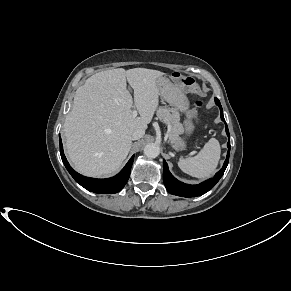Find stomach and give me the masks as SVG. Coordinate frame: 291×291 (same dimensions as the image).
<instances>
[{
    "label": "stomach",
    "mask_w": 291,
    "mask_h": 291,
    "mask_svg": "<svg viewBox=\"0 0 291 291\" xmlns=\"http://www.w3.org/2000/svg\"><path fill=\"white\" fill-rule=\"evenodd\" d=\"M157 83L160 95L165 101L175 107L176 110L183 113H189V101L180 84L172 83L169 79L164 77L159 78ZM193 130L194 123L192 116L189 115L185 121V131L189 134ZM175 146L181 150L185 149V143L182 139L175 143Z\"/></svg>",
    "instance_id": "1"
}]
</instances>
